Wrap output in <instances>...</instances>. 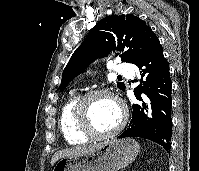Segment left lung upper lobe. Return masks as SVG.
<instances>
[{"label":"left lung upper lobe","mask_w":199,"mask_h":171,"mask_svg":"<svg viewBox=\"0 0 199 171\" xmlns=\"http://www.w3.org/2000/svg\"><path fill=\"white\" fill-rule=\"evenodd\" d=\"M158 38L152 29L134 15L108 16L100 20L75 50L61 80V91L97 57L128 48L120 57L123 62L137 64ZM117 87L125 90L124 83Z\"/></svg>","instance_id":"obj_1"}]
</instances>
